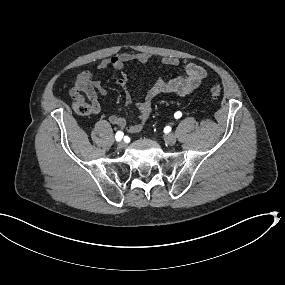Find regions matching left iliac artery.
Returning <instances> with one entry per match:
<instances>
[{
  "mask_svg": "<svg viewBox=\"0 0 285 285\" xmlns=\"http://www.w3.org/2000/svg\"><path fill=\"white\" fill-rule=\"evenodd\" d=\"M181 116H182V113H181L180 111H178V112H176V113L174 114V117H175L176 119L180 118Z\"/></svg>",
  "mask_w": 285,
  "mask_h": 285,
  "instance_id": "44dca946",
  "label": "left iliac artery"
}]
</instances>
